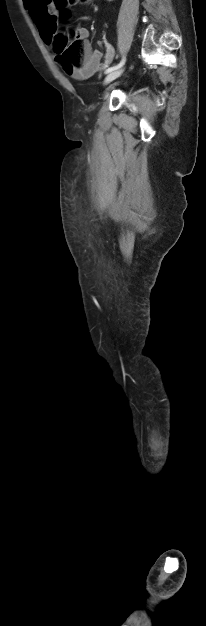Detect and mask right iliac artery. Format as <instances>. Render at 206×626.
<instances>
[{"label": "right iliac artery", "mask_w": 206, "mask_h": 626, "mask_svg": "<svg viewBox=\"0 0 206 626\" xmlns=\"http://www.w3.org/2000/svg\"><path fill=\"white\" fill-rule=\"evenodd\" d=\"M125 57L122 58V60L120 61V63H118L117 65L110 67L106 70V73L112 72L114 70H118L119 68H121L124 64H125Z\"/></svg>", "instance_id": "82829eb1"}]
</instances>
